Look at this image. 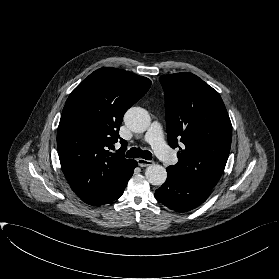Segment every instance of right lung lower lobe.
Returning <instances> with one entry per match:
<instances>
[{
	"instance_id": "1",
	"label": "right lung lower lobe",
	"mask_w": 279,
	"mask_h": 279,
	"mask_svg": "<svg viewBox=\"0 0 279 279\" xmlns=\"http://www.w3.org/2000/svg\"><path fill=\"white\" fill-rule=\"evenodd\" d=\"M137 162L135 161V164L133 165L132 170L130 171V173L124 178V180L120 183L119 186H117L113 191H111L109 194H107L106 196L94 201L93 203H91L90 205L93 206H99V205H103L106 203H109L115 199H118L122 194L123 191L129 181V179L131 178L132 174H133V170L135 167H137Z\"/></svg>"
}]
</instances>
